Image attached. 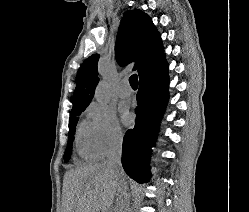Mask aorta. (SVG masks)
Wrapping results in <instances>:
<instances>
[{
    "label": "aorta",
    "instance_id": "762f6f07",
    "mask_svg": "<svg viewBox=\"0 0 249 212\" xmlns=\"http://www.w3.org/2000/svg\"><path fill=\"white\" fill-rule=\"evenodd\" d=\"M97 102L103 106L107 105L110 100V89L105 81H101L95 91Z\"/></svg>",
    "mask_w": 249,
    "mask_h": 212
}]
</instances>
